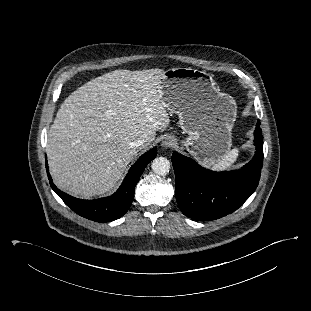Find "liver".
<instances>
[{
	"label": "liver",
	"instance_id": "obj_1",
	"mask_svg": "<svg viewBox=\"0 0 311 311\" xmlns=\"http://www.w3.org/2000/svg\"><path fill=\"white\" fill-rule=\"evenodd\" d=\"M162 69L115 70L85 83L60 106L48 131L54 183L80 198L110 192L139 150L170 124ZM145 138L140 148L134 140Z\"/></svg>",
	"mask_w": 311,
	"mask_h": 311
}]
</instances>
